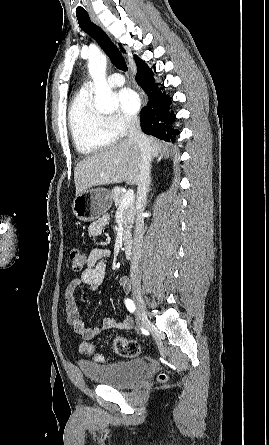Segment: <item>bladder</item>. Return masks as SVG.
I'll return each instance as SVG.
<instances>
[{
	"label": "bladder",
	"instance_id": "31cf9c89",
	"mask_svg": "<svg viewBox=\"0 0 269 445\" xmlns=\"http://www.w3.org/2000/svg\"><path fill=\"white\" fill-rule=\"evenodd\" d=\"M147 367L143 359H130L107 365L92 362L80 363V368L88 380L119 389L139 382L146 373Z\"/></svg>",
	"mask_w": 269,
	"mask_h": 445
}]
</instances>
